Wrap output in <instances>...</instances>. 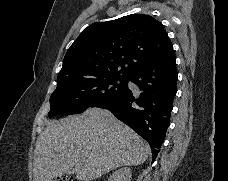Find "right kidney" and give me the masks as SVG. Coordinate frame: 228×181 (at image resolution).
Instances as JSON below:
<instances>
[{"label":"right kidney","instance_id":"obj_1","mask_svg":"<svg viewBox=\"0 0 228 181\" xmlns=\"http://www.w3.org/2000/svg\"><path fill=\"white\" fill-rule=\"evenodd\" d=\"M131 175L132 171L129 167H122V169L115 171L108 181H131Z\"/></svg>","mask_w":228,"mask_h":181}]
</instances>
